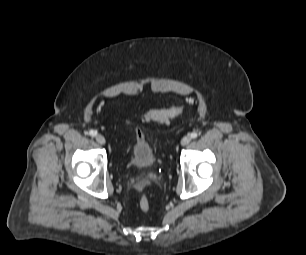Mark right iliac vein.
Wrapping results in <instances>:
<instances>
[{"instance_id": "63e3f726", "label": "right iliac vein", "mask_w": 306, "mask_h": 255, "mask_svg": "<svg viewBox=\"0 0 306 255\" xmlns=\"http://www.w3.org/2000/svg\"><path fill=\"white\" fill-rule=\"evenodd\" d=\"M95 139H96L97 143H99L100 145H104L106 143V140H105L104 136H102L100 134L96 135Z\"/></svg>"}]
</instances>
